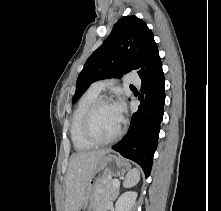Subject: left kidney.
<instances>
[{"mask_svg": "<svg viewBox=\"0 0 221 211\" xmlns=\"http://www.w3.org/2000/svg\"><path fill=\"white\" fill-rule=\"evenodd\" d=\"M137 198L136 192L123 193L115 204V211H130Z\"/></svg>", "mask_w": 221, "mask_h": 211, "instance_id": "obj_1", "label": "left kidney"}]
</instances>
